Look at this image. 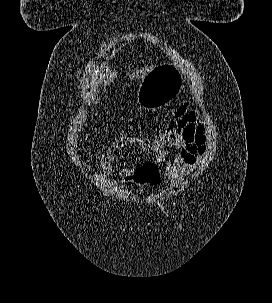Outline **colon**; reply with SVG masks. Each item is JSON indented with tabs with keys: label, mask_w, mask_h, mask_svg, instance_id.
I'll list each match as a JSON object with an SVG mask.
<instances>
[{
	"label": "colon",
	"mask_w": 272,
	"mask_h": 303,
	"mask_svg": "<svg viewBox=\"0 0 272 303\" xmlns=\"http://www.w3.org/2000/svg\"><path fill=\"white\" fill-rule=\"evenodd\" d=\"M159 173L154 164L147 163L139 166L134 174L133 180L140 184L155 185L158 182Z\"/></svg>",
	"instance_id": "obj_1"
}]
</instances>
